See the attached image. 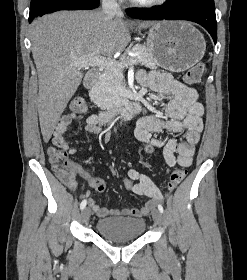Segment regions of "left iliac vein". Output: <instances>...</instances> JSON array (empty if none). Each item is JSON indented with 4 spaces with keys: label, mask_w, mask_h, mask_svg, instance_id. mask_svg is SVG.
Returning a JSON list of instances; mask_svg holds the SVG:
<instances>
[{
    "label": "left iliac vein",
    "mask_w": 247,
    "mask_h": 280,
    "mask_svg": "<svg viewBox=\"0 0 247 280\" xmlns=\"http://www.w3.org/2000/svg\"><path fill=\"white\" fill-rule=\"evenodd\" d=\"M152 217H153L154 222L157 225L161 226L163 224V217H162V214L159 210L154 209L152 211Z\"/></svg>",
    "instance_id": "1"
}]
</instances>
